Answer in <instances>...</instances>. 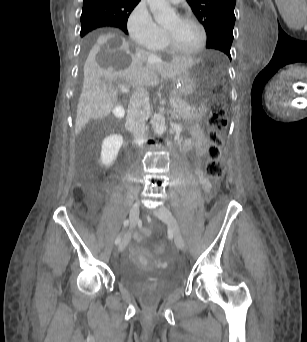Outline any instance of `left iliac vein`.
<instances>
[{
  "label": "left iliac vein",
  "instance_id": "4c4485c4",
  "mask_svg": "<svg viewBox=\"0 0 307 342\" xmlns=\"http://www.w3.org/2000/svg\"><path fill=\"white\" fill-rule=\"evenodd\" d=\"M154 214L161 219L162 221L166 222L169 227L171 228L172 232L174 233V241L180 250L185 248V243L183 237L181 235L178 223L172 213L165 207H161L158 210L154 211Z\"/></svg>",
  "mask_w": 307,
  "mask_h": 342
}]
</instances>
